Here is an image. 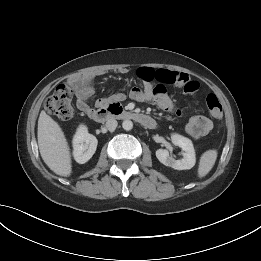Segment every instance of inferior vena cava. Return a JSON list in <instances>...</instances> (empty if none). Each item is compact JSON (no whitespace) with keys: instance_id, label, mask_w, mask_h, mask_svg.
<instances>
[{"instance_id":"1","label":"inferior vena cava","mask_w":261,"mask_h":261,"mask_svg":"<svg viewBox=\"0 0 261 261\" xmlns=\"http://www.w3.org/2000/svg\"><path fill=\"white\" fill-rule=\"evenodd\" d=\"M117 125L118 122L114 118L108 119L105 124L106 128L111 132H113L116 129Z\"/></svg>"}]
</instances>
